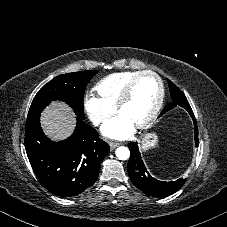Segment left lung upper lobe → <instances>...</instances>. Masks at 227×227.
Wrapping results in <instances>:
<instances>
[{
    "label": "left lung upper lobe",
    "mask_w": 227,
    "mask_h": 227,
    "mask_svg": "<svg viewBox=\"0 0 227 227\" xmlns=\"http://www.w3.org/2000/svg\"><path fill=\"white\" fill-rule=\"evenodd\" d=\"M167 81H168V85H169V89H170V93H171L172 102L167 104L164 107V109L162 110L160 115H163L164 113H166L167 111H169L175 107L184 108L189 112V114H192L193 111H192V109L189 105V102H188L187 98L185 97L184 93L169 79Z\"/></svg>",
    "instance_id": "left-lung-upper-lobe-1"
}]
</instances>
